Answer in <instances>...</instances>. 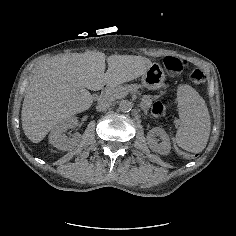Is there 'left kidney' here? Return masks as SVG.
<instances>
[{"label":"left kidney","instance_id":"obj_1","mask_svg":"<svg viewBox=\"0 0 236 236\" xmlns=\"http://www.w3.org/2000/svg\"><path fill=\"white\" fill-rule=\"evenodd\" d=\"M158 135L161 139V143H157L154 136ZM147 143L150 149L161 155H168L171 150L170 139L167 133L160 127L152 128L147 134Z\"/></svg>","mask_w":236,"mask_h":236}]
</instances>
